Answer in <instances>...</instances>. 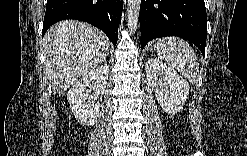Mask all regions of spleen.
I'll return each instance as SVG.
<instances>
[{
	"label": "spleen",
	"instance_id": "spleen-1",
	"mask_svg": "<svg viewBox=\"0 0 247 156\" xmlns=\"http://www.w3.org/2000/svg\"><path fill=\"white\" fill-rule=\"evenodd\" d=\"M158 57L175 67L190 83L199 77V64L190 44L179 37H164L155 45Z\"/></svg>",
	"mask_w": 247,
	"mask_h": 156
}]
</instances>
